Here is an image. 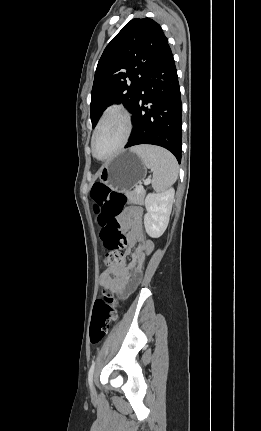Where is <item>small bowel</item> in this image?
Instances as JSON below:
<instances>
[{
    "instance_id": "1",
    "label": "small bowel",
    "mask_w": 261,
    "mask_h": 431,
    "mask_svg": "<svg viewBox=\"0 0 261 431\" xmlns=\"http://www.w3.org/2000/svg\"><path fill=\"white\" fill-rule=\"evenodd\" d=\"M143 210L138 206L125 209L120 215L119 222L127 232V246H137L131 254V261L125 260L117 265H109L101 272L100 285L121 296L128 295L139 283L144 268L145 257L153 247L147 240L142 227Z\"/></svg>"
}]
</instances>
